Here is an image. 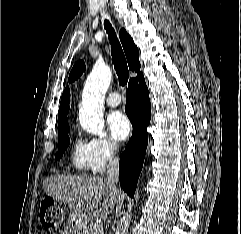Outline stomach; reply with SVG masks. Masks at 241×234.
I'll use <instances>...</instances> for the list:
<instances>
[{"label":"stomach","instance_id":"1","mask_svg":"<svg viewBox=\"0 0 241 234\" xmlns=\"http://www.w3.org/2000/svg\"><path fill=\"white\" fill-rule=\"evenodd\" d=\"M87 223V218L81 214L73 213L70 217V226L75 230H80Z\"/></svg>","mask_w":241,"mask_h":234}]
</instances>
